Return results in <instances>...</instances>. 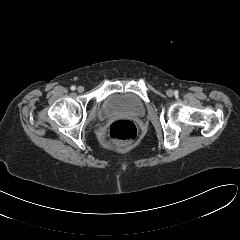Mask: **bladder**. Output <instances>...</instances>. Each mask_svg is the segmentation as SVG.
I'll list each match as a JSON object with an SVG mask.
<instances>
[{
	"label": "bladder",
	"mask_w": 240,
	"mask_h": 240,
	"mask_svg": "<svg viewBox=\"0 0 240 240\" xmlns=\"http://www.w3.org/2000/svg\"><path fill=\"white\" fill-rule=\"evenodd\" d=\"M145 114L146 106L143 100L132 93H115L107 96L99 111L101 119H110L120 115L140 118Z\"/></svg>",
	"instance_id": "1"
}]
</instances>
